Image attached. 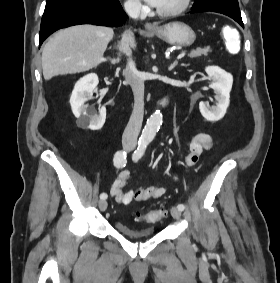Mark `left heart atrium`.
I'll return each instance as SVG.
<instances>
[{
  "instance_id": "39dd6f15",
  "label": "left heart atrium",
  "mask_w": 280,
  "mask_h": 283,
  "mask_svg": "<svg viewBox=\"0 0 280 283\" xmlns=\"http://www.w3.org/2000/svg\"><path fill=\"white\" fill-rule=\"evenodd\" d=\"M148 4H150L153 7H158L161 3V0H145Z\"/></svg>"
}]
</instances>
